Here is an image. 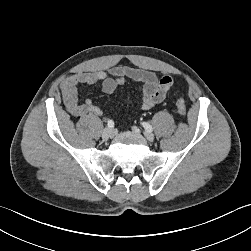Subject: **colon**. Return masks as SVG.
Instances as JSON below:
<instances>
[{"mask_svg": "<svg viewBox=\"0 0 251 251\" xmlns=\"http://www.w3.org/2000/svg\"><path fill=\"white\" fill-rule=\"evenodd\" d=\"M176 108H177L178 113L181 116H186L187 107H186L184 99H182V98H178L177 99V101H176Z\"/></svg>", "mask_w": 251, "mask_h": 251, "instance_id": "5ec220e1", "label": "colon"}]
</instances>
